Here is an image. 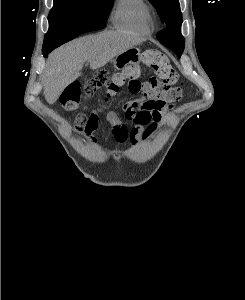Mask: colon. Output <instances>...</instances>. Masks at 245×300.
Segmentation results:
<instances>
[{
  "mask_svg": "<svg viewBox=\"0 0 245 300\" xmlns=\"http://www.w3.org/2000/svg\"><path fill=\"white\" fill-rule=\"evenodd\" d=\"M143 61L155 72V77L146 82L154 95L167 102L179 100L182 92L179 75L166 55L159 50H147L143 54ZM139 75L140 68L137 65L128 66L115 73L99 70L86 80L85 91L91 94L98 89L106 88L108 98H113L122 87H127L130 92H137L140 87ZM81 93V84L71 83L60 97L62 106L68 111L75 110L80 103Z\"/></svg>",
  "mask_w": 245,
  "mask_h": 300,
  "instance_id": "obj_1",
  "label": "colon"
}]
</instances>
